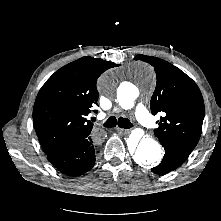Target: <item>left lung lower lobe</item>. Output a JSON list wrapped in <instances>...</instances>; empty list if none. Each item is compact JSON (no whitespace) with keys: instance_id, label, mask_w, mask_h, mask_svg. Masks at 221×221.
Returning a JSON list of instances; mask_svg holds the SVG:
<instances>
[{"instance_id":"obj_1","label":"left lung lower lobe","mask_w":221,"mask_h":221,"mask_svg":"<svg viewBox=\"0 0 221 221\" xmlns=\"http://www.w3.org/2000/svg\"><path fill=\"white\" fill-rule=\"evenodd\" d=\"M165 155L162 162L152 168V172L158 175L166 174L178 168L190 155L192 150L171 143H162Z\"/></svg>"}]
</instances>
